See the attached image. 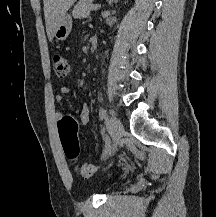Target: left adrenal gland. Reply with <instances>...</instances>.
<instances>
[{"instance_id":"obj_1","label":"left adrenal gland","mask_w":216,"mask_h":217,"mask_svg":"<svg viewBox=\"0 0 216 217\" xmlns=\"http://www.w3.org/2000/svg\"><path fill=\"white\" fill-rule=\"evenodd\" d=\"M116 3L118 2V0H114Z\"/></svg>"}]
</instances>
